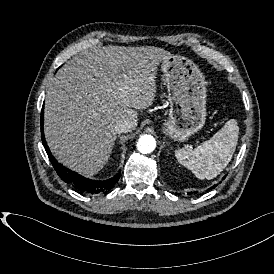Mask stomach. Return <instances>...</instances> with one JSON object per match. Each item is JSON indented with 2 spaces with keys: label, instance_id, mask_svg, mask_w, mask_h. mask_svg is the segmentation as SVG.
Wrapping results in <instances>:
<instances>
[{
  "label": "stomach",
  "instance_id": "obj_1",
  "mask_svg": "<svg viewBox=\"0 0 274 274\" xmlns=\"http://www.w3.org/2000/svg\"><path fill=\"white\" fill-rule=\"evenodd\" d=\"M169 93V120L163 132L175 141H186L206 120L207 89L203 73L190 59L171 55L161 63Z\"/></svg>",
  "mask_w": 274,
  "mask_h": 274
}]
</instances>
